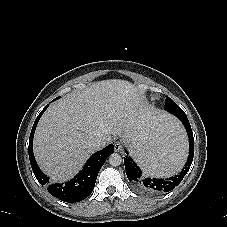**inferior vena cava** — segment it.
Returning <instances> with one entry per match:
<instances>
[{
    "label": "inferior vena cava",
    "instance_id": "obj_1",
    "mask_svg": "<svg viewBox=\"0 0 227 227\" xmlns=\"http://www.w3.org/2000/svg\"><path fill=\"white\" fill-rule=\"evenodd\" d=\"M107 141L103 137L93 138L88 142V147L94 151L100 150L106 146Z\"/></svg>",
    "mask_w": 227,
    "mask_h": 227
}]
</instances>
